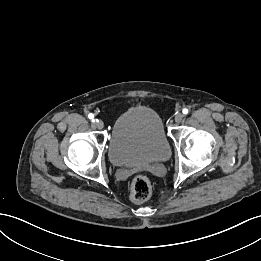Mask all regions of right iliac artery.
I'll list each match as a JSON object with an SVG mask.
<instances>
[{"label": "right iliac artery", "instance_id": "right-iliac-artery-1", "mask_svg": "<svg viewBox=\"0 0 261 261\" xmlns=\"http://www.w3.org/2000/svg\"><path fill=\"white\" fill-rule=\"evenodd\" d=\"M88 118L89 119H91L92 120V122H96L97 120H94L93 118H94V115L92 114V113H90L89 115H88Z\"/></svg>", "mask_w": 261, "mask_h": 261}]
</instances>
